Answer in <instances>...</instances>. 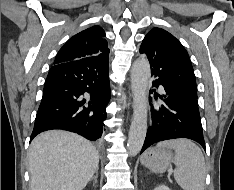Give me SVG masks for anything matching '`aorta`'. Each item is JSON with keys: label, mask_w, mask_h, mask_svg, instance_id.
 <instances>
[{"label": "aorta", "mask_w": 234, "mask_h": 190, "mask_svg": "<svg viewBox=\"0 0 234 190\" xmlns=\"http://www.w3.org/2000/svg\"><path fill=\"white\" fill-rule=\"evenodd\" d=\"M150 80V64L145 56L138 58L131 69L133 93V118L129 130L127 148L131 156L141 150L147 132V91Z\"/></svg>", "instance_id": "obj_1"}]
</instances>
